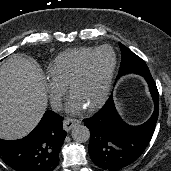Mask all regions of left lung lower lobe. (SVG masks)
<instances>
[{
	"mask_svg": "<svg viewBox=\"0 0 171 171\" xmlns=\"http://www.w3.org/2000/svg\"><path fill=\"white\" fill-rule=\"evenodd\" d=\"M146 81L155 109L142 125L125 123L116 111L112 96L94 116L83 120L90 129L89 155L98 167L107 171L124 168L140 156L151 140L158 119L159 94L152 76Z\"/></svg>",
	"mask_w": 171,
	"mask_h": 171,
	"instance_id": "0a47b994",
	"label": "left lung lower lobe"
}]
</instances>
